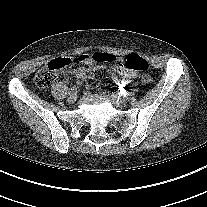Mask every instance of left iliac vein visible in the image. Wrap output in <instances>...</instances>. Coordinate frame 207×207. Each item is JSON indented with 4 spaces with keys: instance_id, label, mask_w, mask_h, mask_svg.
Masks as SVG:
<instances>
[{
    "instance_id": "left-iliac-vein-1",
    "label": "left iliac vein",
    "mask_w": 207,
    "mask_h": 207,
    "mask_svg": "<svg viewBox=\"0 0 207 207\" xmlns=\"http://www.w3.org/2000/svg\"><path fill=\"white\" fill-rule=\"evenodd\" d=\"M104 97L111 102V104L115 107H120L125 104V100L123 98H120L119 96L113 95V94H104Z\"/></svg>"
}]
</instances>
